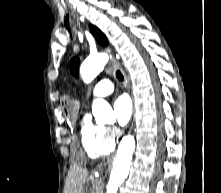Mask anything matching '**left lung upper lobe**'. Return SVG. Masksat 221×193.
Listing matches in <instances>:
<instances>
[{"label": "left lung upper lobe", "instance_id": "obj_1", "mask_svg": "<svg viewBox=\"0 0 221 193\" xmlns=\"http://www.w3.org/2000/svg\"><path fill=\"white\" fill-rule=\"evenodd\" d=\"M91 32L95 35L97 41L102 45H107L108 41L105 35L96 27L90 26ZM79 58H73L70 63L71 71L75 76H78V70H79Z\"/></svg>", "mask_w": 221, "mask_h": 193}]
</instances>
